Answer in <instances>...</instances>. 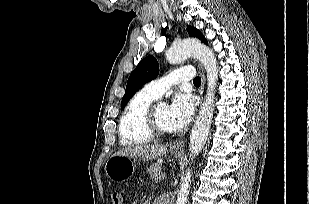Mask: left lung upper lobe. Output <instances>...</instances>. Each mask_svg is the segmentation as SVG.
Segmentation results:
<instances>
[{
	"label": "left lung upper lobe",
	"mask_w": 309,
	"mask_h": 204,
	"mask_svg": "<svg viewBox=\"0 0 309 204\" xmlns=\"http://www.w3.org/2000/svg\"><path fill=\"white\" fill-rule=\"evenodd\" d=\"M187 32L190 36L199 38L203 43L208 44L207 39L195 27L188 26ZM158 73L159 65L157 60L153 56L144 58L129 76L126 92L122 98L121 108L125 107L127 102L142 85L156 78Z\"/></svg>",
	"instance_id": "obj_1"
}]
</instances>
